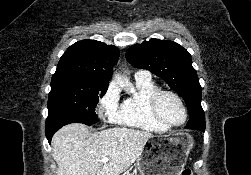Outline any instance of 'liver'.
I'll return each mask as SVG.
<instances>
[{"label":"liver","mask_w":251,"mask_h":175,"mask_svg":"<svg viewBox=\"0 0 251 175\" xmlns=\"http://www.w3.org/2000/svg\"><path fill=\"white\" fill-rule=\"evenodd\" d=\"M149 131L110 127L90 133L84 123H69L52 137V155L57 175H119L139 157ZM102 157L109 161L102 163Z\"/></svg>","instance_id":"6515ba94"}]
</instances>
